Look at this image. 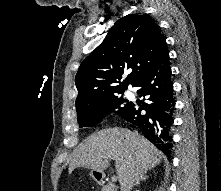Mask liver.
<instances>
[{"label": "liver", "instance_id": "obj_1", "mask_svg": "<svg viewBox=\"0 0 221 191\" xmlns=\"http://www.w3.org/2000/svg\"><path fill=\"white\" fill-rule=\"evenodd\" d=\"M163 155L146 138L125 128H108L86 138L74 151L69 173L77 167L103 172L114 159L120 185L133 173L160 164Z\"/></svg>", "mask_w": 221, "mask_h": 191}]
</instances>
